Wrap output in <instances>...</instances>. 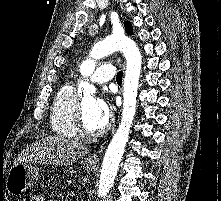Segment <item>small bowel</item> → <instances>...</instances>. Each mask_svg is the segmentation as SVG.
I'll list each match as a JSON object with an SVG mask.
<instances>
[{
	"label": "small bowel",
	"instance_id": "obj_1",
	"mask_svg": "<svg viewBox=\"0 0 221 201\" xmlns=\"http://www.w3.org/2000/svg\"><path fill=\"white\" fill-rule=\"evenodd\" d=\"M29 201H46L42 196H34Z\"/></svg>",
	"mask_w": 221,
	"mask_h": 201
}]
</instances>
